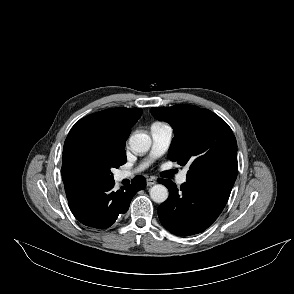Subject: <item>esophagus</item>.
Here are the masks:
<instances>
[{"instance_id": "34e87169", "label": "esophagus", "mask_w": 294, "mask_h": 294, "mask_svg": "<svg viewBox=\"0 0 294 294\" xmlns=\"http://www.w3.org/2000/svg\"><path fill=\"white\" fill-rule=\"evenodd\" d=\"M156 183V180L154 178H148L147 179V186H152Z\"/></svg>"}]
</instances>
